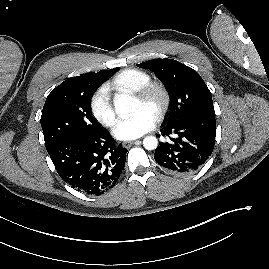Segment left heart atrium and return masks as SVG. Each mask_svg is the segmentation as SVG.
Returning <instances> with one entry per match:
<instances>
[{
    "instance_id": "1",
    "label": "left heart atrium",
    "mask_w": 269,
    "mask_h": 269,
    "mask_svg": "<svg viewBox=\"0 0 269 269\" xmlns=\"http://www.w3.org/2000/svg\"><path fill=\"white\" fill-rule=\"evenodd\" d=\"M155 124L156 116L142 108L130 118L120 120L114 129V135L120 140H133L152 130Z\"/></svg>"
}]
</instances>
